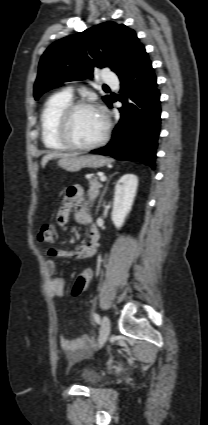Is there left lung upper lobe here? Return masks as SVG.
I'll return each instance as SVG.
<instances>
[{"mask_svg":"<svg viewBox=\"0 0 208 425\" xmlns=\"http://www.w3.org/2000/svg\"><path fill=\"white\" fill-rule=\"evenodd\" d=\"M145 53L134 30L109 21L51 44L41 57L34 97L65 82L92 77L94 68L109 67L119 78ZM103 100L107 105L109 96Z\"/></svg>","mask_w":208,"mask_h":425,"instance_id":"obj_1","label":"left lung upper lobe"}]
</instances>
